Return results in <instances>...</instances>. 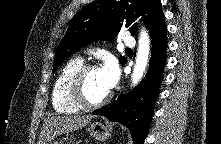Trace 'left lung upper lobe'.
Listing matches in <instances>:
<instances>
[{"label":"left lung upper lobe","instance_id":"obj_1","mask_svg":"<svg viewBox=\"0 0 221 144\" xmlns=\"http://www.w3.org/2000/svg\"><path fill=\"white\" fill-rule=\"evenodd\" d=\"M135 13V14H134ZM160 0H96L85 6L71 20L69 28L58 45L53 72L71 54L97 39L110 40L125 24L131 26L134 17L141 16L149 31L163 16ZM136 24L130 27L135 36ZM124 65L127 59L119 58Z\"/></svg>","mask_w":221,"mask_h":144}]
</instances>
